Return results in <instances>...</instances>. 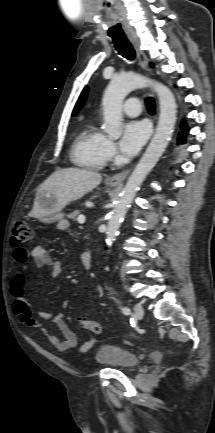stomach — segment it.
Instances as JSON below:
<instances>
[{"mask_svg":"<svg viewBox=\"0 0 215 433\" xmlns=\"http://www.w3.org/2000/svg\"><path fill=\"white\" fill-rule=\"evenodd\" d=\"M110 187H115L116 185L110 184ZM37 199L39 206L46 211H49V214L40 218L41 222L50 224L53 222H57L63 219V214L60 210H53V203L55 201L54 196L48 191H41L37 193Z\"/></svg>","mask_w":215,"mask_h":433,"instance_id":"1","label":"stomach"}]
</instances>
